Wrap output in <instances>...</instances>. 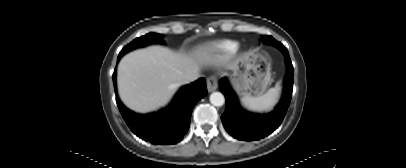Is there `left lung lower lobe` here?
I'll list each match as a JSON object with an SVG mask.
<instances>
[{
    "label": "left lung lower lobe",
    "mask_w": 406,
    "mask_h": 168,
    "mask_svg": "<svg viewBox=\"0 0 406 168\" xmlns=\"http://www.w3.org/2000/svg\"><path fill=\"white\" fill-rule=\"evenodd\" d=\"M286 56L287 73L284 79L283 96L274 111L269 114H255L244 111L238 102L227 78L219 81L220 90L226 99L225 112L221 116L226 131L239 140H259L271 134L281 124L289 107L293 89V66L288 50Z\"/></svg>",
    "instance_id": "1"
}]
</instances>
